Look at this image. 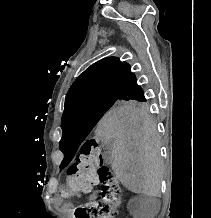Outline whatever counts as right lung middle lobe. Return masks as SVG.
I'll return each mask as SVG.
<instances>
[{"label":"right lung middle lobe","instance_id":"1","mask_svg":"<svg viewBox=\"0 0 211 218\" xmlns=\"http://www.w3.org/2000/svg\"><path fill=\"white\" fill-rule=\"evenodd\" d=\"M145 98L93 99L64 110L62 115L61 143L80 144L91 132L100 118L109 110L145 109Z\"/></svg>","mask_w":211,"mask_h":218}]
</instances>
